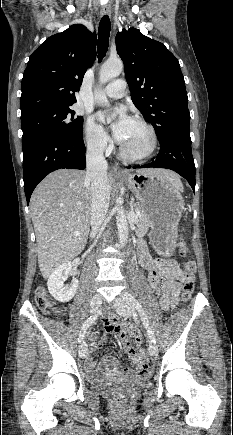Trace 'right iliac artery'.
Masks as SVG:
<instances>
[{"mask_svg": "<svg viewBox=\"0 0 233 435\" xmlns=\"http://www.w3.org/2000/svg\"><path fill=\"white\" fill-rule=\"evenodd\" d=\"M99 312L95 313L94 315L90 316L86 322L83 324L80 333H79V337H78V342L82 343L85 333L88 329V327L95 322V320L98 318Z\"/></svg>", "mask_w": 233, "mask_h": 435, "instance_id": "82829eb1", "label": "right iliac artery"}]
</instances>
